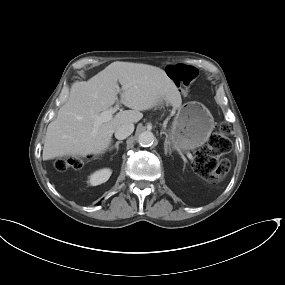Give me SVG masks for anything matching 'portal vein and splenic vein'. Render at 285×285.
<instances>
[{"instance_id": "1", "label": "portal vein and splenic vein", "mask_w": 285, "mask_h": 285, "mask_svg": "<svg viewBox=\"0 0 285 285\" xmlns=\"http://www.w3.org/2000/svg\"><path fill=\"white\" fill-rule=\"evenodd\" d=\"M117 91L120 92L121 89L119 87H117ZM119 108H120V104L117 103L113 108H110L109 110L102 112L100 115H96L95 116V121L98 122V123H103V122H107V121L111 120L112 115L115 112H117L119 110ZM187 157L190 160H193V156L189 152L187 153Z\"/></svg>"}]
</instances>
